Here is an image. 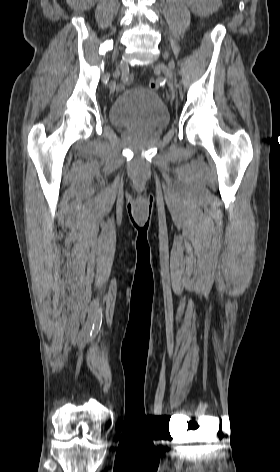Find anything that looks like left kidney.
<instances>
[{"instance_id": "5707ae66", "label": "left kidney", "mask_w": 280, "mask_h": 472, "mask_svg": "<svg viewBox=\"0 0 280 472\" xmlns=\"http://www.w3.org/2000/svg\"><path fill=\"white\" fill-rule=\"evenodd\" d=\"M186 2L190 9L200 16L210 15L220 6V0H186Z\"/></svg>"}]
</instances>
